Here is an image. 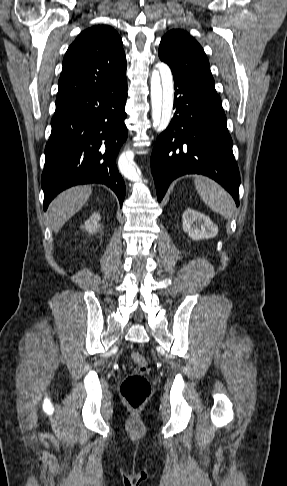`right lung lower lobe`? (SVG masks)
I'll use <instances>...</instances> for the list:
<instances>
[{
  "instance_id": "right-lung-lower-lobe-1",
  "label": "right lung lower lobe",
  "mask_w": 287,
  "mask_h": 486,
  "mask_svg": "<svg viewBox=\"0 0 287 486\" xmlns=\"http://www.w3.org/2000/svg\"><path fill=\"white\" fill-rule=\"evenodd\" d=\"M126 99L124 80L56 108L41 179L44 210L62 190L86 183L107 185L122 206L126 188L116 156L128 136Z\"/></svg>"
}]
</instances>
